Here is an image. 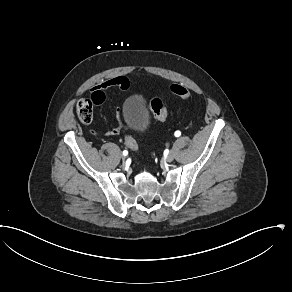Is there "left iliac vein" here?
Segmentation results:
<instances>
[{"label":"left iliac vein","mask_w":292,"mask_h":292,"mask_svg":"<svg viewBox=\"0 0 292 292\" xmlns=\"http://www.w3.org/2000/svg\"><path fill=\"white\" fill-rule=\"evenodd\" d=\"M166 160H167L168 162H172V161L174 160V153H173V151H170V152L168 153V155H167V157H166Z\"/></svg>","instance_id":"left-iliac-vein-1"}]
</instances>
